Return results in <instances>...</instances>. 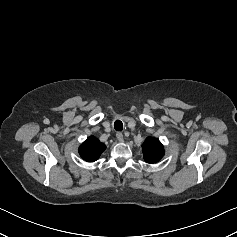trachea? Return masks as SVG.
<instances>
[{
	"instance_id": "trachea-1",
	"label": "trachea",
	"mask_w": 237,
	"mask_h": 237,
	"mask_svg": "<svg viewBox=\"0 0 237 237\" xmlns=\"http://www.w3.org/2000/svg\"><path fill=\"white\" fill-rule=\"evenodd\" d=\"M114 128H115L116 131H122V129H123V123H122V121L116 120V121L114 122Z\"/></svg>"
}]
</instances>
